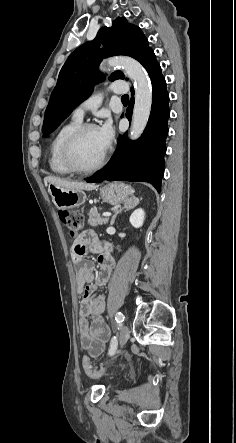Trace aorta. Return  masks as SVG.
<instances>
[{
    "label": "aorta",
    "instance_id": "obj_1",
    "mask_svg": "<svg viewBox=\"0 0 236 443\" xmlns=\"http://www.w3.org/2000/svg\"><path fill=\"white\" fill-rule=\"evenodd\" d=\"M109 67L121 66L127 76L134 81L135 103L132 116L130 137L135 140L141 136L149 120L152 106V86L143 66L130 57L107 59Z\"/></svg>",
    "mask_w": 236,
    "mask_h": 443
}]
</instances>
